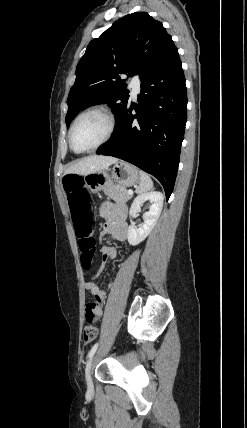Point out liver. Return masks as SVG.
Segmentation results:
<instances>
[{"instance_id": "obj_1", "label": "liver", "mask_w": 247, "mask_h": 428, "mask_svg": "<svg viewBox=\"0 0 247 428\" xmlns=\"http://www.w3.org/2000/svg\"><path fill=\"white\" fill-rule=\"evenodd\" d=\"M119 160L111 156H88L75 164H72L67 170V174L87 175L118 162Z\"/></svg>"}]
</instances>
